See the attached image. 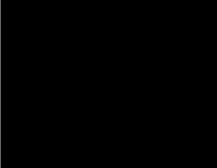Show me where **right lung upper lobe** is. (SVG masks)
Here are the masks:
<instances>
[{
  "instance_id": "1",
  "label": "right lung upper lobe",
  "mask_w": 217,
  "mask_h": 168,
  "mask_svg": "<svg viewBox=\"0 0 217 168\" xmlns=\"http://www.w3.org/2000/svg\"><path fill=\"white\" fill-rule=\"evenodd\" d=\"M96 25L93 20L67 18L33 42L23 67V99L30 114L73 95L72 77Z\"/></svg>"
}]
</instances>
